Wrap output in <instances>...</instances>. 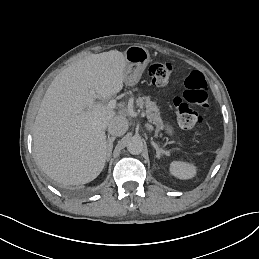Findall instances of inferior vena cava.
<instances>
[{
	"label": "inferior vena cava",
	"mask_w": 259,
	"mask_h": 259,
	"mask_svg": "<svg viewBox=\"0 0 259 259\" xmlns=\"http://www.w3.org/2000/svg\"><path fill=\"white\" fill-rule=\"evenodd\" d=\"M129 127V122L124 116H115L108 125V133L114 137L124 135Z\"/></svg>",
	"instance_id": "inferior-vena-cava-1"
}]
</instances>
